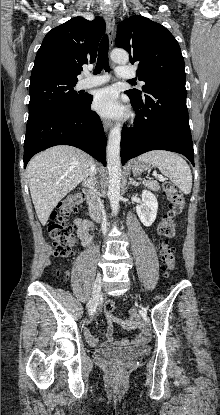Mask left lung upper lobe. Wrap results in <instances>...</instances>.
Returning a JSON list of instances; mask_svg holds the SVG:
<instances>
[{
	"label": "left lung upper lobe",
	"mask_w": 220,
	"mask_h": 415,
	"mask_svg": "<svg viewBox=\"0 0 220 415\" xmlns=\"http://www.w3.org/2000/svg\"><path fill=\"white\" fill-rule=\"evenodd\" d=\"M115 43L128 51L130 62H138L137 75L145 82L146 94L150 85L186 80L184 58L174 36L162 25L134 15L118 26ZM133 96L142 97L141 91L128 90Z\"/></svg>",
	"instance_id": "1"
}]
</instances>
